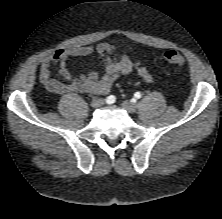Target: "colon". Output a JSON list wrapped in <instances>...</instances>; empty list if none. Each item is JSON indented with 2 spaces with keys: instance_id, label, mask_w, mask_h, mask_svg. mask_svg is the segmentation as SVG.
<instances>
[{
  "instance_id": "1",
  "label": "colon",
  "mask_w": 222,
  "mask_h": 219,
  "mask_svg": "<svg viewBox=\"0 0 222 219\" xmlns=\"http://www.w3.org/2000/svg\"><path fill=\"white\" fill-rule=\"evenodd\" d=\"M163 59L172 65L177 67H183L185 65V58L184 56L176 51V50H168L163 54Z\"/></svg>"
}]
</instances>
